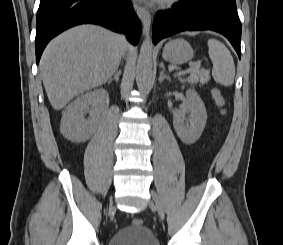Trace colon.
Wrapping results in <instances>:
<instances>
[{"instance_id": "1", "label": "colon", "mask_w": 283, "mask_h": 245, "mask_svg": "<svg viewBox=\"0 0 283 245\" xmlns=\"http://www.w3.org/2000/svg\"><path fill=\"white\" fill-rule=\"evenodd\" d=\"M212 96H213L215 103L220 108V111L222 113H225L226 112V108H225L226 102H225V99H224L222 93L220 92V90L214 89L213 92H212ZM132 223L135 226H141L143 224V221L140 218H134Z\"/></svg>"}]
</instances>
